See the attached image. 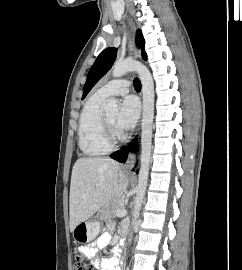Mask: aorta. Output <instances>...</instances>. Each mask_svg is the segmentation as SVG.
Wrapping results in <instances>:
<instances>
[{
  "label": "aorta",
  "mask_w": 242,
  "mask_h": 270,
  "mask_svg": "<svg viewBox=\"0 0 242 270\" xmlns=\"http://www.w3.org/2000/svg\"><path fill=\"white\" fill-rule=\"evenodd\" d=\"M128 72H136L142 83L143 93V113L141 123V155H140V169L138 173V185L136 188V198L134 204V211L132 214V232L129 235L128 242H131L133 231H135L137 220L140 214L142 202L144 199L151 155L152 142V126L154 119V82L150 71L139 61L133 59H125L117 61L113 65L112 75L115 78L121 77ZM107 113H117V101L110 99L104 106Z\"/></svg>",
  "instance_id": "obj_1"
}]
</instances>
